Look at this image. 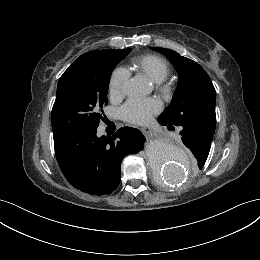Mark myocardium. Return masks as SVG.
I'll return each instance as SVG.
<instances>
[{
	"label": "myocardium",
	"instance_id": "1",
	"mask_svg": "<svg viewBox=\"0 0 260 260\" xmlns=\"http://www.w3.org/2000/svg\"><path fill=\"white\" fill-rule=\"evenodd\" d=\"M157 87L164 94H169L171 92V87H169L168 85L163 84L162 82L157 83Z\"/></svg>",
	"mask_w": 260,
	"mask_h": 260
}]
</instances>
